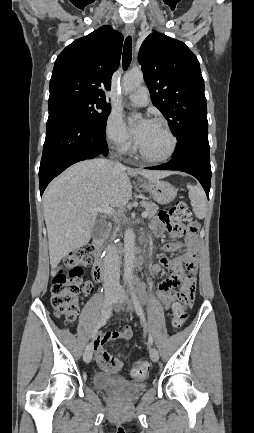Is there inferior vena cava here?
Returning <instances> with one entry per match:
<instances>
[{"mask_svg":"<svg viewBox=\"0 0 254 433\" xmlns=\"http://www.w3.org/2000/svg\"><path fill=\"white\" fill-rule=\"evenodd\" d=\"M115 165L117 167L123 166L120 162H116ZM104 273L105 288H118L120 280V262L117 251L111 245L106 248V255L104 258Z\"/></svg>","mask_w":254,"mask_h":433,"instance_id":"602c4592","label":"inferior vena cava"}]
</instances>
